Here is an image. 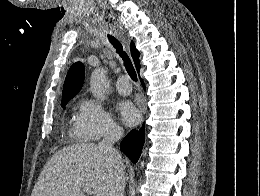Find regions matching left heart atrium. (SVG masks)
<instances>
[{
  "label": "left heart atrium",
  "instance_id": "39dd6f15",
  "mask_svg": "<svg viewBox=\"0 0 260 196\" xmlns=\"http://www.w3.org/2000/svg\"><path fill=\"white\" fill-rule=\"evenodd\" d=\"M119 111L125 124L133 125L138 120V112L129 101H123L119 104ZM122 190H107V192H121Z\"/></svg>",
  "mask_w": 260,
  "mask_h": 196
}]
</instances>
